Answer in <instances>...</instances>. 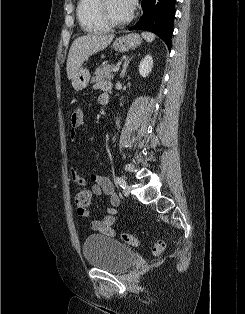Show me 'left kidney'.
<instances>
[{"instance_id":"1","label":"left kidney","mask_w":245,"mask_h":314,"mask_svg":"<svg viewBox=\"0 0 245 314\" xmlns=\"http://www.w3.org/2000/svg\"><path fill=\"white\" fill-rule=\"evenodd\" d=\"M153 68V57L148 54L146 55L139 64V73L142 77H147Z\"/></svg>"}]
</instances>
